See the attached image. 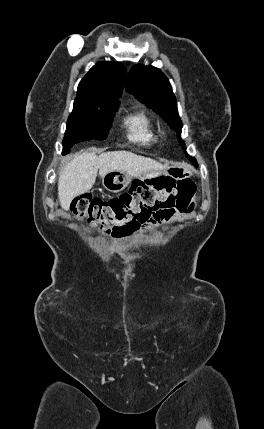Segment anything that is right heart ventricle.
Here are the masks:
<instances>
[{"mask_svg":"<svg viewBox=\"0 0 264 429\" xmlns=\"http://www.w3.org/2000/svg\"><path fill=\"white\" fill-rule=\"evenodd\" d=\"M127 137L142 145H152L158 139V133L152 117L144 109H135L123 119Z\"/></svg>","mask_w":264,"mask_h":429,"instance_id":"e07e8e85","label":"right heart ventricle"}]
</instances>
